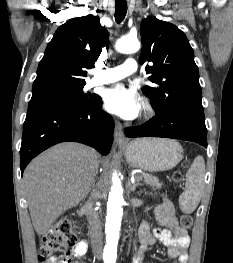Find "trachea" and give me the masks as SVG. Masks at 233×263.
<instances>
[{
	"label": "trachea",
	"instance_id": "1",
	"mask_svg": "<svg viewBox=\"0 0 233 263\" xmlns=\"http://www.w3.org/2000/svg\"><path fill=\"white\" fill-rule=\"evenodd\" d=\"M127 13V2L125 0H116L115 2V20L121 23Z\"/></svg>",
	"mask_w": 233,
	"mask_h": 263
}]
</instances>
